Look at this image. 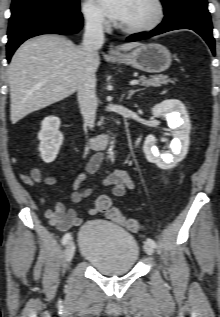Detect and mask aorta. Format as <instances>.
<instances>
[{
	"instance_id": "1",
	"label": "aorta",
	"mask_w": 220,
	"mask_h": 317,
	"mask_svg": "<svg viewBox=\"0 0 220 317\" xmlns=\"http://www.w3.org/2000/svg\"><path fill=\"white\" fill-rule=\"evenodd\" d=\"M113 148H114V141L111 142V145L108 149V154H109V157L113 155Z\"/></svg>"
}]
</instances>
